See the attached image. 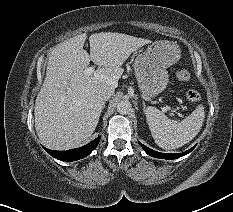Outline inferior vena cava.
I'll return each instance as SVG.
<instances>
[{
  "label": "inferior vena cava",
  "mask_w": 233,
  "mask_h": 212,
  "mask_svg": "<svg viewBox=\"0 0 233 212\" xmlns=\"http://www.w3.org/2000/svg\"><path fill=\"white\" fill-rule=\"evenodd\" d=\"M98 94L103 100H109L111 96L114 94V90L108 86H102L98 90Z\"/></svg>",
  "instance_id": "602c4592"
}]
</instances>
